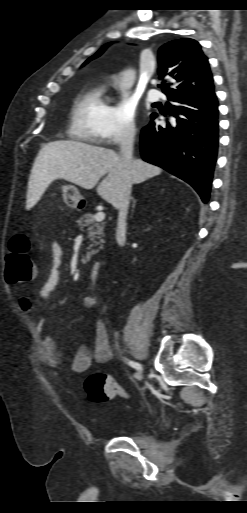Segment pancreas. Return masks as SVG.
Wrapping results in <instances>:
<instances>
[{
  "mask_svg": "<svg viewBox=\"0 0 247 513\" xmlns=\"http://www.w3.org/2000/svg\"><path fill=\"white\" fill-rule=\"evenodd\" d=\"M94 216L95 215L92 213H85L77 220L79 227H81V228L88 227V237L95 244V245L91 244L88 249H90L93 246H97V245H100V248H102V243H103V240L101 239V237L104 236V230H103L104 225L97 223L94 219ZM95 239H100V241L97 242V241H95ZM97 252H98V250L94 249V250L88 252V255H93Z\"/></svg>",
  "mask_w": 247,
  "mask_h": 513,
  "instance_id": "cf45deb5",
  "label": "pancreas"
}]
</instances>
